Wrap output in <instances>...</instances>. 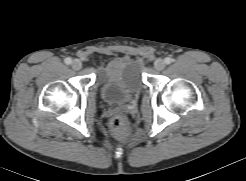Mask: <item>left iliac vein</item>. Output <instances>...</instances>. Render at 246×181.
I'll return each mask as SVG.
<instances>
[{
  "mask_svg": "<svg viewBox=\"0 0 246 181\" xmlns=\"http://www.w3.org/2000/svg\"><path fill=\"white\" fill-rule=\"evenodd\" d=\"M165 66H166V63H165V61L164 60H162V59H157L156 61H155V63H154V67H155V69L156 70H163L164 68H165Z\"/></svg>",
  "mask_w": 246,
  "mask_h": 181,
  "instance_id": "1",
  "label": "left iliac vein"
}]
</instances>
